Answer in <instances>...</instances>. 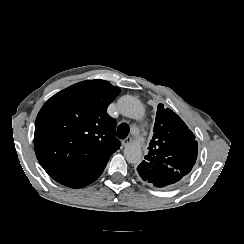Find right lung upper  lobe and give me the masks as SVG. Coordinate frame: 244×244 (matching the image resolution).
<instances>
[{
    "label": "right lung upper lobe",
    "instance_id": "1",
    "mask_svg": "<svg viewBox=\"0 0 244 244\" xmlns=\"http://www.w3.org/2000/svg\"><path fill=\"white\" fill-rule=\"evenodd\" d=\"M119 92L105 80H86L53 95L41 108L35 153L54 180H91L119 149L116 122L106 112Z\"/></svg>",
    "mask_w": 244,
    "mask_h": 244
}]
</instances>
